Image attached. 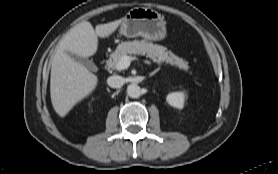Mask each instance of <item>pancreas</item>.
I'll return each mask as SVG.
<instances>
[{
	"mask_svg": "<svg viewBox=\"0 0 278 174\" xmlns=\"http://www.w3.org/2000/svg\"><path fill=\"white\" fill-rule=\"evenodd\" d=\"M136 54L146 55L159 65L165 62L184 71L188 69L187 61L167 51L165 47L146 40L121 42L115 52L111 54L110 59L107 60V65L112 69H117V64L122 56Z\"/></svg>",
	"mask_w": 278,
	"mask_h": 174,
	"instance_id": "cf45deb5",
	"label": "pancreas"
}]
</instances>
